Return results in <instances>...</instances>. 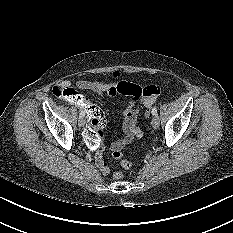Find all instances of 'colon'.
Segmentation results:
<instances>
[{
	"label": "colon",
	"instance_id": "5ec220e1",
	"mask_svg": "<svg viewBox=\"0 0 233 233\" xmlns=\"http://www.w3.org/2000/svg\"><path fill=\"white\" fill-rule=\"evenodd\" d=\"M53 92L58 97L68 98L69 102L74 104L77 109L86 110L90 124L83 129L82 134L86 143L90 147L97 149L102 144L103 130L106 123L103 112L98 107L90 104L84 97H81L73 88H61L55 86ZM159 92L160 91L156 86L147 87L144 90V93L147 96H158ZM151 106L147 107L145 116L149 115ZM113 157L120 160V164L123 168H130L132 166L130 161L123 158L121 151L113 152ZM114 177L120 179L122 178V174L116 173Z\"/></svg>",
	"mask_w": 233,
	"mask_h": 233
}]
</instances>
